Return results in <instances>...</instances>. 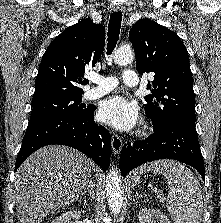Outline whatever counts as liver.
Returning a JSON list of instances; mask_svg holds the SVG:
<instances>
[{
  "label": "liver",
  "mask_w": 221,
  "mask_h": 223,
  "mask_svg": "<svg viewBox=\"0 0 221 223\" xmlns=\"http://www.w3.org/2000/svg\"><path fill=\"white\" fill-rule=\"evenodd\" d=\"M91 168L87 156L67 146L51 145L34 152L15 175L19 223H40L74 202L88 184Z\"/></svg>",
  "instance_id": "liver-1"
}]
</instances>
